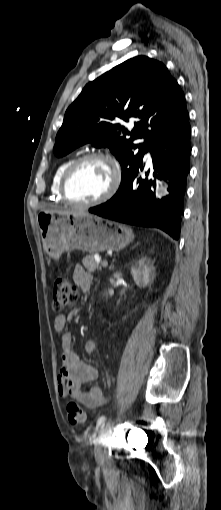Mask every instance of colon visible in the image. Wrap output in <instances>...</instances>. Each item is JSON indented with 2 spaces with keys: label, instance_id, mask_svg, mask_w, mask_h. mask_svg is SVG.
<instances>
[{
  "label": "colon",
  "instance_id": "obj_1",
  "mask_svg": "<svg viewBox=\"0 0 221 510\" xmlns=\"http://www.w3.org/2000/svg\"><path fill=\"white\" fill-rule=\"evenodd\" d=\"M78 290L66 277H58L54 281L52 294V307L55 312H60L76 301ZM68 420L73 425L83 424L86 421V414L83 408L75 401L66 402Z\"/></svg>",
  "mask_w": 221,
  "mask_h": 510
}]
</instances>
